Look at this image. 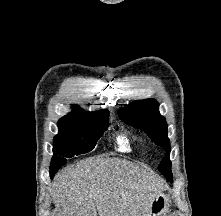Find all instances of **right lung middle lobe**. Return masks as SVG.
I'll return each mask as SVG.
<instances>
[{
    "label": "right lung middle lobe",
    "mask_w": 221,
    "mask_h": 216,
    "mask_svg": "<svg viewBox=\"0 0 221 216\" xmlns=\"http://www.w3.org/2000/svg\"><path fill=\"white\" fill-rule=\"evenodd\" d=\"M109 113L102 116L86 117L58 126L59 133L54 138L50 174L66 163V158L91 151L108 128Z\"/></svg>",
    "instance_id": "right-lung-middle-lobe-1"
}]
</instances>
